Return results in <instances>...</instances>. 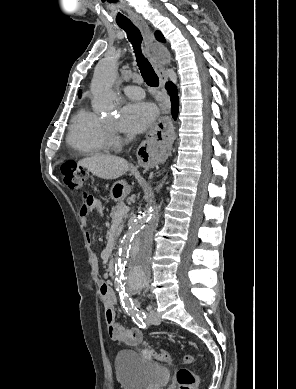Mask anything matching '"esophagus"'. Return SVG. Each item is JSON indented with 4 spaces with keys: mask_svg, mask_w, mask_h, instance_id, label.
<instances>
[{
    "mask_svg": "<svg viewBox=\"0 0 296 389\" xmlns=\"http://www.w3.org/2000/svg\"><path fill=\"white\" fill-rule=\"evenodd\" d=\"M134 23L141 30L145 46L149 54V60L156 71L160 84L164 87L167 76L162 67V64L154 56V34L149 28L147 22L142 18L134 19ZM176 141V134L172 122L166 118H161L154 123L146 135L143 137L142 143L138 148V164L141 169H154L157 163L162 161L163 157H168L172 144Z\"/></svg>",
    "mask_w": 296,
    "mask_h": 389,
    "instance_id": "obj_1",
    "label": "esophagus"
}]
</instances>
